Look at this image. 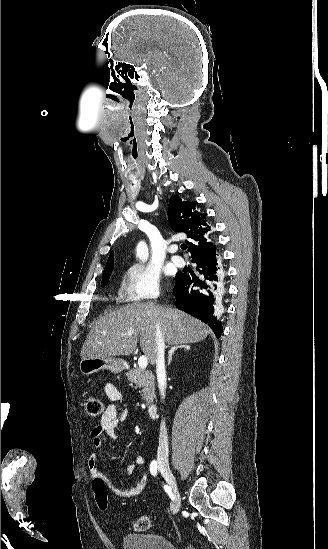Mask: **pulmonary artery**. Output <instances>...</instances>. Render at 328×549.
Masks as SVG:
<instances>
[{"instance_id": "e3ab8cb5", "label": "pulmonary artery", "mask_w": 328, "mask_h": 549, "mask_svg": "<svg viewBox=\"0 0 328 549\" xmlns=\"http://www.w3.org/2000/svg\"><path fill=\"white\" fill-rule=\"evenodd\" d=\"M171 259L176 266L182 267L185 264L184 260L180 256L174 255Z\"/></svg>"}]
</instances>
